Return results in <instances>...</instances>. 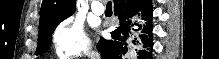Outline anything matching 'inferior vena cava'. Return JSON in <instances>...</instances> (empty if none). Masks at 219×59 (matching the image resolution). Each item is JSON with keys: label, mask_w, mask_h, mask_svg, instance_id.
I'll use <instances>...</instances> for the list:
<instances>
[{"label": "inferior vena cava", "mask_w": 219, "mask_h": 59, "mask_svg": "<svg viewBox=\"0 0 219 59\" xmlns=\"http://www.w3.org/2000/svg\"><path fill=\"white\" fill-rule=\"evenodd\" d=\"M87 56L90 59H100V54L98 52H95L92 50V46L88 47V52H87Z\"/></svg>", "instance_id": "1"}]
</instances>
